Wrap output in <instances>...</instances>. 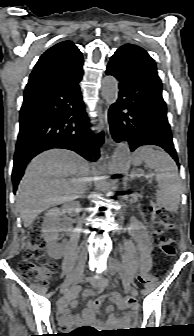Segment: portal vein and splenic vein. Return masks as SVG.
<instances>
[{
	"label": "portal vein and splenic vein",
	"mask_w": 194,
	"mask_h": 336,
	"mask_svg": "<svg viewBox=\"0 0 194 336\" xmlns=\"http://www.w3.org/2000/svg\"><path fill=\"white\" fill-rule=\"evenodd\" d=\"M139 176L150 177L151 175H145L143 173L139 174Z\"/></svg>",
	"instance_id": "18ae733b"
}]
</instances>
